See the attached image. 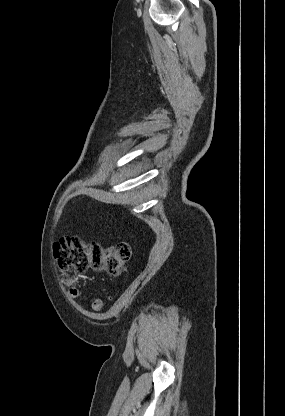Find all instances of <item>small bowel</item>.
I'll use <instances>...</instances> for the list:
<instances>
[{
	"label": "small bowel",
	"mask_w": 285,
	"mask_h": 416,
	"mask_svg": "<svg viewBox=\"0 0 285 416\" xmlns=\"http://www.w3.org/2000/svg\"><path fill=\"white\" fill-rule=\"evenodd\" d=\"M80 295L79 290H72L71 291V296H78ZM91 307L95 312H100L102 310L103 307V301L102 299L98 298V297H94L91 299Z\"/></svg>",
	"instance_id": "1"
}]
</instances>
